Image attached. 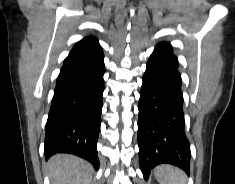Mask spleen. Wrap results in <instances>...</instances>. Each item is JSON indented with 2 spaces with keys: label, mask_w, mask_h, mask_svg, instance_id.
<instances>
[{
  "label": "spleen",
  "mask_w": 235,
  "mask_h": 184,
  "mask_svg": "<svg viewBox=\"0 0 235 184\" xmlns=\"http://www.w3.org/2000/svg\"><path fill=\"white\" fill-rule=\"evenodd\" d=\"M154 176L159 184H187V176L180 168L162 164L154 170Z\"/></svg>",
  "instance_id": "3e777b00"
}]
</instances>
